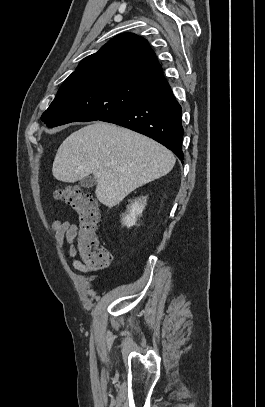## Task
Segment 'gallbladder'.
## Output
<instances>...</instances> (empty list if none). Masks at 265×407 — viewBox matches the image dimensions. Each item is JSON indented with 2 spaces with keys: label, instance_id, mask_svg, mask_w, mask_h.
<instances>
[{
  "label": "gallbladder",
  "instance_id": "gallbladder-1",
  "mask_svg": "<svg viewBox=\"0 0 265 407\" xmlns=\"http://www.w3.org/2000/svg\"><path fill=\"white\" fill-rule=\"evenodd\" d=\"M96 179L94 177L88 176L80 180V186L84 188H91L96 185Z\"/></svg>",
  "mask_w": 265,
  "mask_h": 407
}]
</instances>
